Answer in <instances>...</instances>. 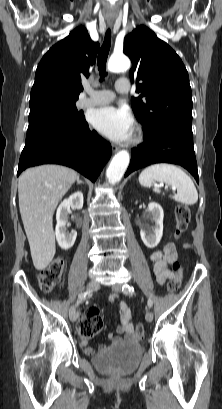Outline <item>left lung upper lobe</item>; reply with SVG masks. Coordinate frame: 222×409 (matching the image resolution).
I'll list each match as a JSON object with an SVG mask.
<instances>
[{
	"label": "left lung upper lobe",
	"mask_w": 222,
	"mask_h": 409,
	"mask_svg": "<svg viewBox=\"0 0 222 409\" xmlns=\"http://www.w3.org/2000/svg\"><path fill=\"white\" fill-rule=\"evenodd\" d=\"M124 53L132 61L130 78L137 98L131 105L144 129L177 120L192 124V92L188 72L176 52L145 26L124 39Z\"/></svg>",
	"instance_id": "left-lung-upper-lobe-1"
}]
</instances>
